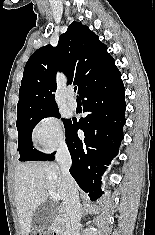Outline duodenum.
<instances>
[{
	"instance_id": "obj_1",
	"label": "duodenum",
	"mask_w": 155,
	"mask_h": 235,
	"mask_svg": "<svg viewBox=\"0 0 155 235\" xmlns=\"http://www.w3.org/2000/svg\"><path fill=\"white\" fill-rule=\"evenodd\" d=\"M53 235H60L59 232L57 231V227L54 229Z\"/></svg>"
}]
</instances>
